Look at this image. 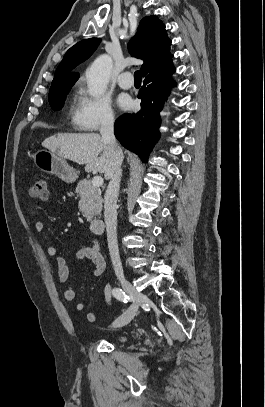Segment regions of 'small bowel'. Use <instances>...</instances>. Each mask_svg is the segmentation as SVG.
Segmentation results:
<instances>
[{
    "label": "small bowel",
    "mask_w": 265,
    "mask_h": 407,
    "mask_svg": "<svg viewBox=\"0 0 265 407\" xmlns=\"http://www.w3.org/2000/svg\"><path fill=\"white\" fill-rule=\"evenodd\" d=\"M45 224L44 221L41 219H37L34 222V229L37 232H41L44 230ZM47 254L54 258L57 265L58 276L59 279L66 283L69 280V266L66 259L62 256L57 254V250L53 246H48L46 249ZM77 259L79 260H89L93 264L92 275L94 277H98L102 275L106 268L105 260L97 247H87L85 245H81L78 252H77ZM76 296V290L72 285H68L64 290V298L66 301H73ZM104 305L103 310H107L112 306V289L109 284H106L104 287ZM85 309V304L83 302H77L75 304V310L77 312H82ZM98 319V315L95 312H89L87 314V320L90 323H95Z\"/></svg>",
    "instance_id": "small-bowel-1"
}]
</instances>
